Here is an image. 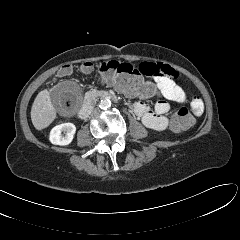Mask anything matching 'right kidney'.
Here are the masks:
<instances>
[{
    "mask_svg": "<svg viewBox=\"0 0 240 240\" xmlns=\"http://www.w3.org/2000/svg\"><path fill=\"white\" fill-rule=\"evenodd\" d=\"M75 132L76 127L73 123H63L51 130L49 140L55 145H68L72 142Z\"/></svg>",
    "mask_w": 240,
    "mask_h": 240,
    "instance_id": "right-kidney-1",
    "label": "right kidney"
}]
</instances>
